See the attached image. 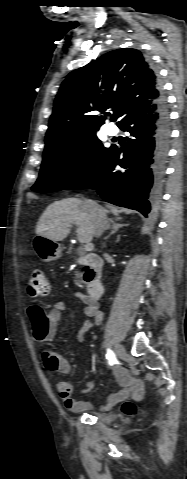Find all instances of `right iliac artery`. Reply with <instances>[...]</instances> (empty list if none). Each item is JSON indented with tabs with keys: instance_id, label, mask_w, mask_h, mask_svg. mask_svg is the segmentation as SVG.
<instances>
[{
	"instance_id": "1",
	"label": "right iliac artery",
	"mask_w": 187,
	"mask_h": 479,
	"mask_svg": "<svg viewBox=\"0 0 187 479\" xmlns=\"http://www.w3.org/2000/svg\"><path fill=\"white\" fill-rule=\"evenodd\" d=\"M106 357H107L108 362H109L110 365H113L117 362V359H116V356H115L114 352L110 349L107 350Z\"/></svg>"
}]
</instances>
